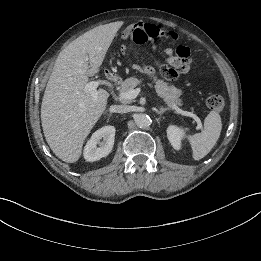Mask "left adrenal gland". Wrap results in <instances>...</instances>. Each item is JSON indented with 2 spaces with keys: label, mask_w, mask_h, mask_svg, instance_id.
Segmentation results:
<instances>
[{
  "label": "left adrenal gland",
  "mask_w": 261,
  "mask_h": 261,
  "mask_svg": "<svg viewBox=\"0 0 261 261\" xmlns=\"http://www.w3.org/2000/svg\"><path fill=\"white\" fill-rule=\"evenodd\" d=\"M168 110H169V108H164V107H161L159 110L155 109L156 113L159 115H162L164 112H166Z\"/></svg>",
  "instance_id": "left-adrenal-gland-1"
}]
</instances>
